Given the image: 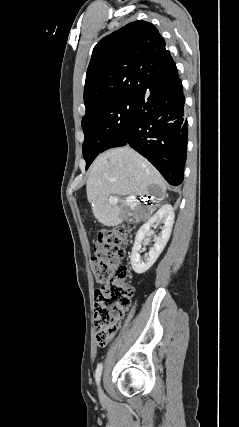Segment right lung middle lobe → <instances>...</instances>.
<instances>
[{
    "label": "right lung middle lobe",
    "mask_w": 239,
    "mask_h": 427,
    "mask_svg": "<svg viewBox=\"0 0 239 427\" xmlns=\"http://www.w3.org/2000/svg\"><path fill=\"white\" fill-rule=\"evenodd\" d=\"M135 103L136 97L118 98L98 102L86 110L82 119L86 169L99 153L128 139Z\"/></svg>",
    "instance_id": "right-lung-middle-lobe-1"
}]
</instances>
